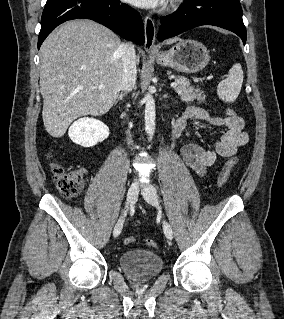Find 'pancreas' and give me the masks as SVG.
Returning a JSON list of instances; mask_svg holds the SVG:
<instances>
[{
	"instance_id": "cf45deb5",
	"label": "pancreas",
	"mask_w": 284,
	"mask_h": 319,
	"mask_svg": "<svg viewBox=\"0 0 284 319\" xmlns=\"http://www.w3.org/2000/svg\"><path fill=\"white\" fill-rule=\"evenodd\" d=\"M175 80L178 84L175 90L182 101L190 103L197 99L200 103L205 102V95H203V92H201L199 88L190 86V81L187 78L180 76Z\"/></svg>"
}]
</instances>
